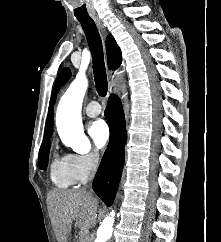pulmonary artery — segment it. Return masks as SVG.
<instances>
[{
	"label": "pulmonary artery",
	"instance_id": "obj_1",
	"mask_svg": "<svg viewBox=\"0 0 221 242\" xmlns=\"http://www.w3.org/2000/svg\"><path fill=\"white\" fill-rule=\"evenodd\" d=\"M85 113L89 117H95L101 113V107L100 105L93 101L88 104V106L85 109Z\"/></svg>",
	"mask_w": 221,
	"mask_h": 242
}]
</instances>
